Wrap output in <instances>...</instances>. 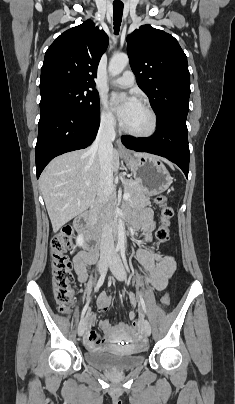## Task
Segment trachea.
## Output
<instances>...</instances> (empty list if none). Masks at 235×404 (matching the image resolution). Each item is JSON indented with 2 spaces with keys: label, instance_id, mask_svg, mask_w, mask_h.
Here are the masks:
<instances>
[{
  "label": "trachea",
  "instance_id": "obj_1",
  "mask_svg": "<svg viewBox=\"0 0 235 404\" xmlns=\"http://www.w3.org/2000/svg\"><path fill=\"white\" fill-rule=\"evenodd\" d=\"M123 15V4H113L114 31L117 35L120 30Z\"/></svg>",
  "mask_w": 235,
  "mask_h": 404
}]
</instances>
